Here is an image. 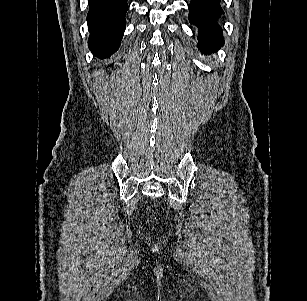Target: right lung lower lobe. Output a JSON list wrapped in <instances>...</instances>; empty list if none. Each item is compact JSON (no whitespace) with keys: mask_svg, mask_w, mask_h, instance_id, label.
Segmentation results:
<instances>
[{"mask_svg":"<svg viewBox=\"0 0 307 301\" xmlns=\"http://www.w3.org/2000/svg\"><path fill=\"white\" fill-rule=\"evenodd\" d=\"M127 10L126 0H89L88 46L96 57L108 58L118 50L125 31Z\"/></svg>","mask_w":307,"mask_h":301,"instance_id":"1","label":"right lung lower lobe"}]
</instances>
